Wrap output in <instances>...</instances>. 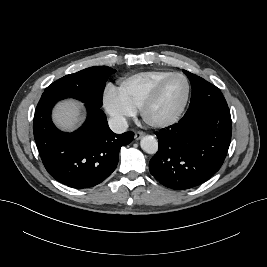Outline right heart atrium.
I'll list each match as a JSON object with an SVG mask.
<instances>
[{
    "instance_id": "obj_1",
    "label": "right heart atrium",
    "mask_w": 267,
    "mask_h": 267,
    "mask_svg": "<svg viewBox=\"0 0 267 267\" xmlns=\"http://www.w3.org/2000/svg\"><path fill=\"white\" fill-rule=\"evenodd\" d=\"M103 106L118 125H124L128 118L135 114V111L120 98L116 89L113 87H107L105 89Z\"/></svg>"
}]
</instances>
